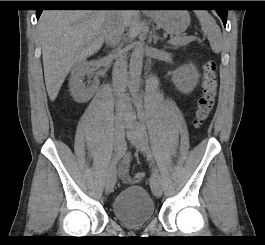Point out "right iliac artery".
I'll list each match as a JSON object with an SVG mask.
<instances>
[{
    "mask_svg": "<svg viewBox=\"0 0 265 245\" xmlns=\"http://www.w3.org/2000/svg\"><path fill=\"white\" fill-rule=\"evenodd\" d=\"M123 155V145L120 144L117 149H115V152L109 161V168L113 167L114 164L117 163V161L122 157Z\"/></svg>",
    "mask_w": 265,
    "mask_h": 245,
    "instance_id": "1",
    "label": "right iliac artery"
}]
</instances>
